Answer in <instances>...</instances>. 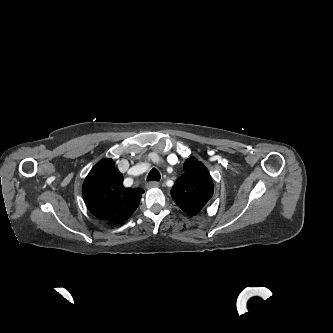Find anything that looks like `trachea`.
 Returning a JSON list of instances; mask_svg holds the SVG:
<instances>
[{"mask_svg":"<svg viewBox=\"0 0 333 333\" xmlns=\"http://www.w3.org/2000/svg\"><path fill=\"white\" fill-rule=\"evenodd\" d=\"M160 180V173L158 172L157 169L153 168L149 172L147 176V181H159Z\"/></svg>","mask_w":333,"mask_h":333,"instance_id":"obj_1","label":"trachea"}]
</instances>
